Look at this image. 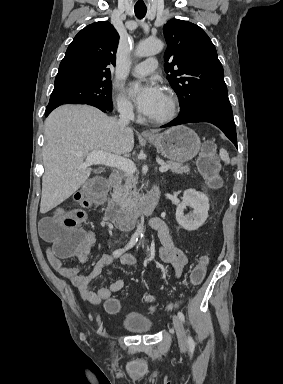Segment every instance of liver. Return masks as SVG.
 I'll return each mask as SVG.
<instances>
[{"mask_svg":"<svg viewBox=\"0 0 283 384\" xmlns=\"http://www.w3.org/2000/svg\"><path fill=\"white\" fill-rule=\"evenodd\" d=\"M44 136L41 214L62 204L85 184L92 170L83 162L90 152L121 156L134 148L133 130H121L116 118L92 106H59L46 118Z\"/></svg>","mask_w":283,"mask_h":384,"instance_id":"1","label":"liver"}]
</instances>
